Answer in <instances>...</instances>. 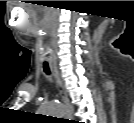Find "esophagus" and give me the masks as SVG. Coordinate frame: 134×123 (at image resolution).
<instances>
[{
    "instance_id": "34e87169",
    "label": "esophagus",
    "mask_w": 134,
    "mask_h": 123,
    "mask_svg": "<svg viewBox=\"0 0 134 123\" xmlns=\"http://www.w3.org/2000/svg\"><path fill=\"white\" fill-rule=\"evenodd\" d=\"M52 71H53L54 77L56 79V83H57V87H58L61 99L64 102L65 106L70 109L71 107H70V104H69L67 93H66L65 87H64V85H63V83L60 79L59 72L56 68H52ZM68 118H69V116L64 117V119H68Z\"/></svg>"
}]
</instances>
